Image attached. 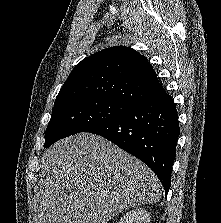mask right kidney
I'll return each mask as SVG.
<instances>
[{
    "instance_id": "ca27d5eb",
    "label": "right kidney",
    "mask_w": 221,
    "mask_h": 223,
    "mask_svg": "<svg viewBox=\"0 0 221 223\" xmlns=\"http://www.w3.org/2000/svg\"><path fill=\"white\" fill-rule=\"evenodd\" d=\"M119 223H150V214L143 209H135L127 212Z\"/></svg>"
}]
</instances>
